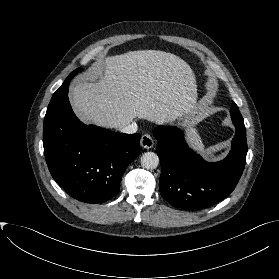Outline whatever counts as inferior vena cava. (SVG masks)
<instances>
[{
    "mask_svg": "<svg viewBox=\"0 0 279 279\" xmlns=\"http://www.w3.org/2000/svg\"><path fill=\"white\" fill-rule=\"evenodd\" d=\"M120 131L127 134H133L137 131V124L135 122H132L120 128Z\"/></svg>",
    "mask_w": 279,
    "mask_h": 279,
    "instance_id": "inferior-vena-cava-1",
    "label": "inferior vena cava"
}]
</instances>
